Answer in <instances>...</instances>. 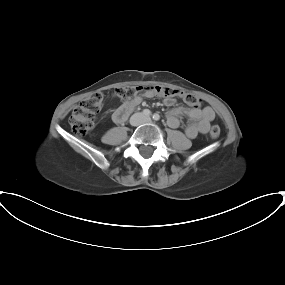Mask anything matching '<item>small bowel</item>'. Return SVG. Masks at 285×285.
Wrapping results in <instances>:
<instances>
[{
    "label": "small bowel",
    "mask_w": 285,
    "mask_h": 285,
    "mask_svg": "<svg viewBox=\"0 0 285 285\" xmlns=\"http://www.w3.org/2000/svg\"><path fill=\"white\" fill-rule=\"evenodd\" d=\"M143 96H152V95L147 93L138 94L129 101H127L126 103H124L123 105L129 103L133 106L134 109L136 106L141 104ZM175 102L176 100L173 97H167L164 99V104L167 106H173ZM115 113L113 117H115ZM181 116H187L191 119V122L185 128V134L188 138L193 139L199 133H206L209 130L210 123L215 118V112L211 107L208 106L203 108L176 107L171 109L167 115L168 125L171 128L179 127L180 125L179 118Z\"/></svg>",
    "instance_id": "obj_1"
}]
</instances>
